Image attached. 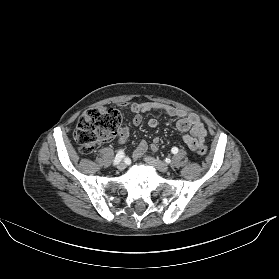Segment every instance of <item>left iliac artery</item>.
Wrapping results in <instances>:
<instances>
[{
    "instance_id": "1",
    "label": "left iliac artery",
    "mask_w": 279,
    "mask_h": 279,
    "mask_svg": "<svg viewBox=\"0 0 279 279\" xmlns=\"http://www.w3.org/2000/svg\"><path fill=\"white\" fill-rule=\"evenodd\" d=\"M171 152H172L173 154H177V153H178V148H177V147H173V148L171 149Z\"/></svg>"
}]
</instances>
